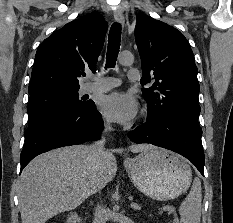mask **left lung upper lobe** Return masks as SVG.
Wrapping results in <instances>:
<instances>
[{
  "mask_svg": "<svg viewBox=\"0 0 233 223\" xmlns=\"http://www.w3.org/2000/svg\"><path fill=\"white\" fill-rule=\"evenodd\" d=\"M135 40L140 53L141 84L147 101V120L187 117L198 120L200 90L193 52L184 35L168 24L148 16H138Z\"/></svg>",
  "mask_w": 233,
  "mask_h": 223,
  "instance_id": "obj_1",
  "label": "left lung upper lobe"
}]
</instances>
